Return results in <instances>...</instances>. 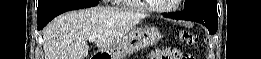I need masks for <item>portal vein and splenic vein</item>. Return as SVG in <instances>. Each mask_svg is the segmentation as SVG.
<instances>
[{"instance_id":"18ae733b","label":"portal vein and splenic vein","mask_w":261,"mask_h":59,"mask_svg":"<svg viewBox=\"0 0 261 59\" xmlns=\"http://www.w3.org/2000/svg\"><path fill=\"white\" fill-rule=\"evenodd\" d=\"M96 36H90L89 38H88V40L90 41V42H94L95 40H96Z\"/></svg>"}]
</instances>
